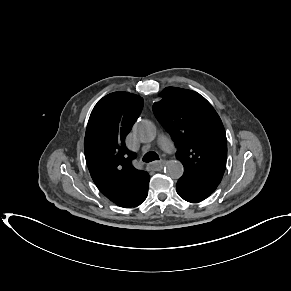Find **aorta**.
<instances>
[{
  "instance_id": "aorta-1",
  "label": "aorta",
  "mask_w": 291,
  "mask_h": 291,
  "mask_svg": "<svg viewBox=\"0 0 291 291\" xmlns=\"http://www.w3.org/2000/svg\"><path fill=\"white\" fill-rule=\"evenodd\" d=\"M156 134V127L151 121L142 120L134 126V135L140 142H152ZM165 172L172 179H178L183 175L184 167L180 161L170 160L166 163Z\"/></svg>"
}]
</instances>
